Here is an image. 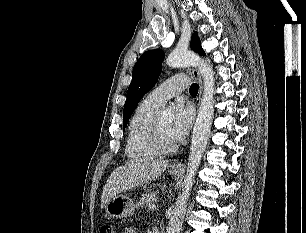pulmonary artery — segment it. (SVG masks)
I'll return each instance as SVG.
<instances>
[{
  "instance_id": "e3ab8cb5",
  "label": "pulmonary artery",
  "mask_w": 306,
  "mask_h": 233,
  "mask_svg": "<svg viewBox=\"0 0 306 233\" xmlns=\"http://www.w3.org/2000/svg\"><path fill=\"white\" fill-rule=\"evenodd\" d=\"M187 85L188 79L186 76H172L152 90L144 100L149 105L159 109L168 99L182 93L187 88Z\"/></svg>"
}]
</instances>
